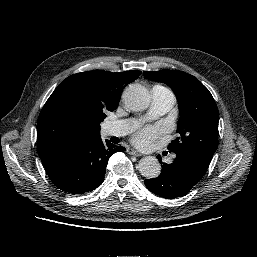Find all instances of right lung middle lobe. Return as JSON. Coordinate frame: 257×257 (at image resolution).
Instances as JSON below:
<instances>
[{"label": "right lung middle lobe", "instance_id": "dd1d6c3e", "mask_svg": "<svg viewBox=\"0 0 257 257\" xmlns=\"http://www.w3.org/2000/svg\"><path fill=\"white\" fill-rule=\"evenodd\" d=\"M105 118H106V114H105V113H103V114L100 115V121H101V122H102Z\"/></svg>", "mask_w": 257, "mask_h": 257}]
</instances>
